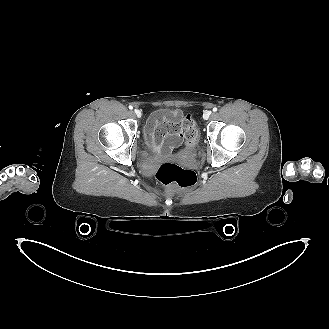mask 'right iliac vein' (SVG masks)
<instances>
[{
	"label": "right iliac vein",
	"mask_w": 329,
	"mask_h": 329,
	"mask_svg": "<svg viewBox=\"0 0 329 329\" xmlns=\"http://www.w3.org/2000/svg\"><path fill=\"white\" fill-rule=\"evenodd\" d=\"M134 113H135L136 116L139 117V118H140L141 115H142V113H141V111H140L139 109H135V110H134Z\"/></svg>",
	"instance_id": "63e3f726"
}]
</instances>
